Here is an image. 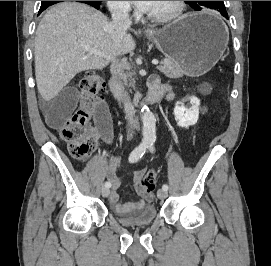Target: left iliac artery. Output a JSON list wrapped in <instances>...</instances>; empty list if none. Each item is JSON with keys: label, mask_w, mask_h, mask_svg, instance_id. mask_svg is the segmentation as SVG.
Here are the masks:
<instances>
[{"label": "left iliac artery", "mask_w": 271, "mask_h": 266, "mask_svg": "<svg viewBox=\"0 0 271 266\" xmlns=\"http://www.w3.org/2000/svg\"><path fill=\"white\" fill-rule=\"evenodd\" d=\"M149 150H150L151 152L154 151V142H153V141H151V142L149 143ZM162 189L167 191V190H168V185H167V184H164V185L162 186Z\"/></svg>", "instance_id": "44dca946"}]
</instances>
